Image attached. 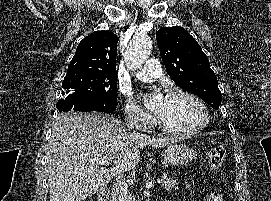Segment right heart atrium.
I'll return each mask as SVG.
<instances>
[{
	"mask_svg": "<svg viewBox=\"0 0 271 201\" xmlns=\"http://www.w3.org/2000/svg\"><path fill=\"white\" fill-rule=\"evenodd\" d=\"M124 111L127 121L141 130L148 129L153 123L151 116L129 100L125 102Z\"/></svg>",
	"mask_w": 271,
	"mask_h": 201,
	"instance_id": "right-heart-atrium-1",
	"label": "right heart atrium"
}]
</instances>
